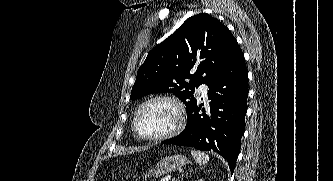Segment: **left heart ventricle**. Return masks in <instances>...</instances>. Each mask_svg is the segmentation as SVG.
Returning <instances> with one entry per match:
<instances>
[{"instance_id": "obj_1", "label": "left heart ventricle", "mask_w": 333, "mask_h": 181, "mask_svg": "<svg viewBox=\"0 0 333 181\" xmlns=\"http://www.w3.org/2000/svg\"><path fill=\"white\" fill-rule=\"evenodd\" d=\"M177 122V111L173 104L155 101L143 108L137 127L144 136H158L171 130Z\"/></svg>"}]
</instances>
